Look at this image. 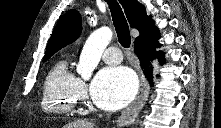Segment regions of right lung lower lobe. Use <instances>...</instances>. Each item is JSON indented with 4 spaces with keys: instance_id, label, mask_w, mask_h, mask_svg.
<instances>
[{
    "instance_id": "1",
    "label": "right lung lower lobe",
    "mask_w": 221,
    "mask_h": 128,
    "mask_svg": "<svg viewBox=\"0 0 221 128\" xmlns=\"http://www.w3.org/2000/svg\"><path fill=\"white\" fill-rule=\"evenodd\" d=\"M159 47L160 45L158 44L157 40L147 43L135 42V53L141 61L142 68L145 70L144 73L149 80L151 86L153 85V82L152 66L150 67V61H152L154 58H158L161 63H164L163 54L160 51L155 52V49Z\"/></svg>"
}]
</instances>
